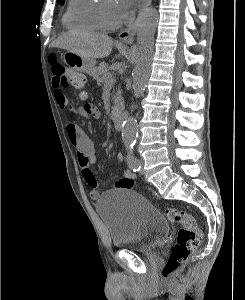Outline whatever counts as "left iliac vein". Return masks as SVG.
I'll return each instance as SVG.
<instances>
[{
    "mask_svg": "<svg viewBox=\"0 0 245 300\" xmlns=\"http://www.w3.org/2000/svg\"><path fill=\"white\" fill-rule=\"evenodd\" d=\"M139 165L141 166V171L140 172H143V165H144V160L141 158L139 159Z\"/></svg>",
    "mask_w": 245,
    "mask_h": 300,
    "instance_id": "4c4485c4",
    "label": "left iliac vein"
}]
</instances>
